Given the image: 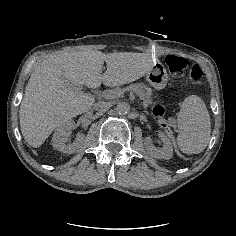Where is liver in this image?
<instances>
[{
  "label": "liver",
  "mask_w": 236,
  "mask_h": 236,
  "mask_svg": "<svg viewBox=\"0 0 236 236\" xmlns=\"http://www.w3.org/2000/svg\"><path fill=\"white\" fill-rule=\"evenodd\" d=\"M144 53L84 49L55 52L38 61L25 87L19 109L21 133L27 144L39 148L57 128L90 110L95 97L79 90L120 86L146 74ZM106 63L107 70L102 73Z\"/></svg>",
  "instance_id": "obj_1"
}]
</instances>
